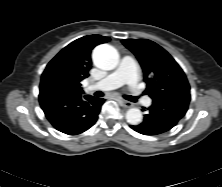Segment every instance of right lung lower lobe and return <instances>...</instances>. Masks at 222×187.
Instances as JSON below:
<instances>
[{
	"label": "right lung lower lobe",
	"mask_w": 222,
	"mask_h": 187,
	"mask_svg": "<svg viewBox=\"0 0 222 187\" xmlns=\"http://www.w3.org/2000/svg\"><path fill=\"white\" fill-rule=\"evenodd\" d=\"M105 99L73 93L60 82L40 84L39 102L46 118L58 131L77 135L92 127Z\"/></svg>",
	"instance_id": "right-lung-lower-lobe-1"
}]
</instances>
